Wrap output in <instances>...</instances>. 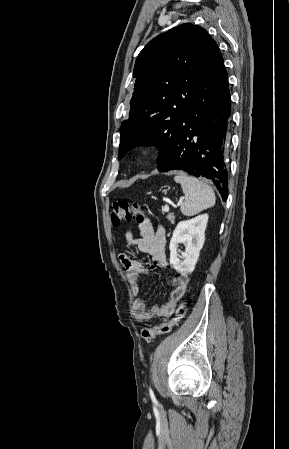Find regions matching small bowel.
I'll use <instances>...</instances> for the list:
<instances>
[{"label": "small bowel", "mask_w": 289, "mask_h": 449, "mask_svg": "<svg viewBox=\"0 0 289 449\" xmlns=\"http://www.w3.org/2000/svg\"><path fill=\"white\" fill-rule=\"evenodd\" d=\"M140 237L136 238L128 231L125 235L124 253L120 255L121 264L132 288L139 292V279L150 275L151 269L141 261L130 257L134 248L151 256V268H166L168 266L166 255L165 231L162 227L155 229L148 218L138 222ZM189 279L186 275H179L172 279L173 289L168 300L160 305L147 309L143 299L134 302L135 319L138 322L148 321L154 317H169L173 314L178 301L184 295Z\"/></svg>", "instance_id": "c3829d8e"}]
</instances>
